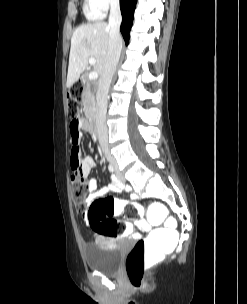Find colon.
Masks as SVG:
<instances>
[{
	"label": "colon",
	"instance_id": "1",
	"mask_svg": "<svg viewBox=\"0 0 247 304\" xmlns=\"http://www.w3.org/2000/svg\"><path fill=\"white\" fill-rule=\"evenodd\" d=\"M83 87L74 84L68 90V112L80 114ZM71 192L78 209H86L87 183L77 172L71 176ZM145 225H152L149 235L136 242L126 259V273L131 285L140 288L143 284L144 271L155 259H163V253H173L178 244V220L176 214H170L166 202H149L146 208ZM88 220L91 228L98 234L110 237L129 235L128 224L113 219L121 215L127 219H138L142 215V207L135 202L117 200L113 197L99 198L88 208Z\"/></svg>",
	"mask_w": 247,
	"mask_h": 304
}]
</instances>
